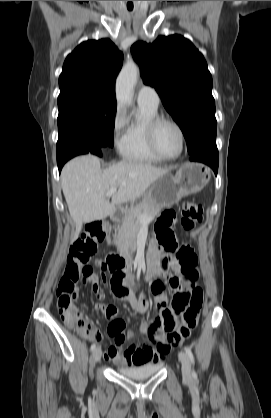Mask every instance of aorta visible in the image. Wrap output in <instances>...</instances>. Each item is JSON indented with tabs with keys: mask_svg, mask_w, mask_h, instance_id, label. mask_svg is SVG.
Returning a JSON list of instances; mask_svg holds the SVG:
<instances>
[{
	"mask_svg": "<svg viewBox=\"0 0 271 418\" xmlns=\"http://www.w3.org/2000/svg\"><path fill=\"white\" fill-rule=\"evenodd\" d=\"M139 75L136 64L129 61L122 68L116 80V97L120 105H130L133 100V90Z\"/></svg>",
	"mask_w": 271,
	"mask_h": 418,
	"instance_id": "1",
	"label": "aorta"
}]
</instances>
